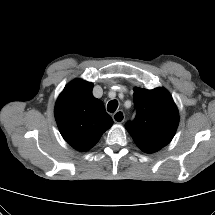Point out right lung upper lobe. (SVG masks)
Instances as JSON below:
<instances>
[{"mask_svg": "<svg viewBox=\"0 0 215 215\" xmlns=\"http://www.w3.org/2000/svg\"><path fill=\"white\" fill-rule=\"evenodd\" d=\"M93 84L76 79L66 85L55 105V119L64 140L78 151H88L109 129L112 118L92 94Z\"/></svg>", "mask_w": 215, "mask_h": 215, "instance_id": "1", "label": "right lung upper lobe"}]
</instances>
